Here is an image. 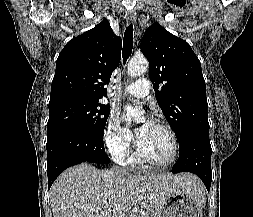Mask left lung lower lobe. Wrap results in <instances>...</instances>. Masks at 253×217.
<instances>
[{
	"label": "left lung lower lobe",
	"instance_id": "left-lung-lower-lobe-1",
	"mask_svg": "<svg viewBox=\"0 0 253 217\" xmlns=\"http://www.w3.org/2000/svg\"><path fill=\"white\" fill-rule=\"evenodd\" d=\"M211 145L209 133L190 131L179 142V158L173 166L172 172H192L199 176L210 190L212 181Z\"/></svg>",
	"mask_w": 253,
	"mask_h": 217
}]
</instances>
